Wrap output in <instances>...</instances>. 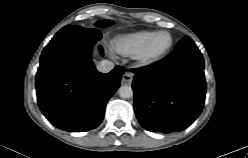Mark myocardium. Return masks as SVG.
Wrapping results in <instances>:
<instances>
[{
  "label": "myocardium",
  "instance_id": "f54148a6",
  "mask_svg": "<svg viewBox=\"0 0 248 158\" xmlns=\"http://www.w3.org/2000/svg\"><path fill=\"white\" fill-rule=\"evenodd\" d=\"M161 34H166L169 38L168 44L161 50L159 51H154L152 49V44L155 38ZM173 45V37L172 34L169 31L166 30H159L155 31L150 38L148 39L147 43L143 47V49L136 55L137 60L142 64V65H151L156 63L157 61L161 60L163 57L167 55L169 50L171 49Z\"/></svg>",
  "mask_w": 248,
  "mask_h": 158
}]
</instances>
